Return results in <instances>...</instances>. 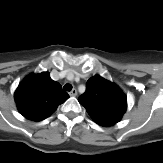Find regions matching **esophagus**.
<instances>
[{"label":"esophagus","mask_w":163,"mask_h":163,"mask_svg":"<svg viewBox=\"0 0 163 163\" xmlns=\"http://www.w3.org/2000/svg\"><path fill=\"white\" fill-rule=\"evenodd\" d=\"M69 95L75 97L77 95V90L73 89L72 91L69 92Z\"/></svg>","instance_id":"1"}]
</instances>
